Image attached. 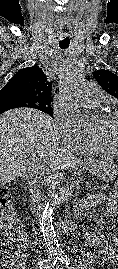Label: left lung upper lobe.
I'll list each match as a JSON object with an SVG mask.
<instances>
[{
  "label": "left lung upper lobe",
  "mask_w": 118,
  "mask_h": 269,
  "mask_svg": "<svg viewBox=\"0 0 118 269\" xmlns=\"http://www.w3.org/2000/svg\"><path fill=\"white\" fill-rule=\"evenodd\" d=\"M94 78L107 93L118 98V76L108 70H97Z\"/></svg>",
  "instance_id": "5c2ea615"
}]
</instances>
